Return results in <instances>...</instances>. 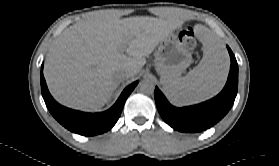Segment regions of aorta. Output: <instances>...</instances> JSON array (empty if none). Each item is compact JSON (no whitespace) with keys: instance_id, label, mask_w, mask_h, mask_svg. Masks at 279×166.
<instances>
[{"instance_id":"762f6f07","label":"aorta","mask_w":279,"mask_h":166,"mask_svg":"<svg viewBox=\"0 0 279 166\" xmlns=\"http://www.w3.org/2000/svg\"><path fill=\"white\" fill-rule=\"evenodd\" d=\"M139 89L142 93L151 94L154 91V84L151 80L145 78L140 82Z\"/></svg>"}]
</instances>
